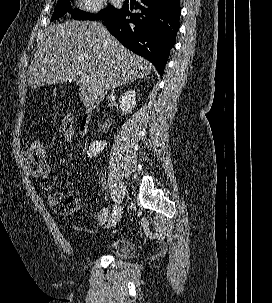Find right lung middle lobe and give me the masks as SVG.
I'll return each mask as SVG.
<instances>
[{"label": "right lung middle lobe", "mask_w": 272, "mask_h": 303, "mask_svg": "<svg viewBox=\"0 0 272 303\" xmlns=\"http://www.w3.org/2000/svg\"><path fill=\"white\" fill-rule=\"evenodd\" d=\"M119 11L120 9L108 6L107 8L101 10L98 14H90L79 9L72 10L70 0H58L54 13L51 17V21L62 17L67 12H70L72 17L76 20H98L107 19L117 14Z\"/></svg>", "instance_id": "obj_1"}]
</instances>
